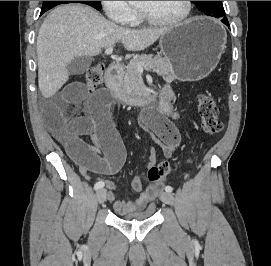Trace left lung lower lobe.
Returning <instances> with one entry per match:
<instances>
[{
	"label": "left lung lower lobe",
	"mask_w": 271,
	"mask_h": 266,
	"mask_svg": "<svg viewBox=\"0 0 271 266\" xmlns=\"http://www.w3.org/2000/svg\"><path fill=\"white\" fill-rule=\"evenodd\" d=\"M221 21L229 27V22L226 17H223Z\"/></svg>",
	"instance_id": "left-lung-lower-lobe-1"
}]
</instances>
